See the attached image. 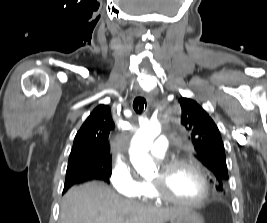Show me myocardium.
Masks as SVG:
<instances>
[{"label":"myocardium","mask_w":267,"mask_h":223,"mask_svg":"<svg viewBox=\"0 0 267 223\" xmlns=\"http://www.w3.org/2000/svg\"><path fill=\"white\" fill-rule=\"evenodd\" d=\"M180 166H189L193 168L201 177L202 182L204 184V193L199 199L192 201L183 200L172 196L167 191L166 178L170 173H172L176 168ZM150 184L157 199L180 206L198 207L205 203L210 196V183L205 169L200 166L196 161L189 158H179L164 162L159 169L158 178L150 181Z\"/></svg>","instance_id":"myocardium-1"}]
</instances>
